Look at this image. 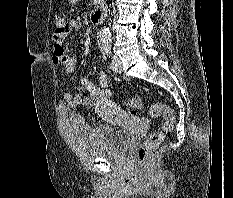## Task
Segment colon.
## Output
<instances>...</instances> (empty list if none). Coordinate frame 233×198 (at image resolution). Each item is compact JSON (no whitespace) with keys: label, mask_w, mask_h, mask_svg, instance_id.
<instances>
[{"label":"colon","mask_w":233,"mask_h":198,"mask_svg":"<svg viewBox=\"0 0 233 198\" xmlns=\"http://www.w3.org/2000/svg\"><path fill=\"white\" fill-rule=\"evenodd\" d=\"M65 19L57 16L55 18V31H61L64 28ZM127 105L132 112H137L141 109L142 103L139 98H131L127 101ZM152 117H162L163 123L161 127L150 133L144 142L137 149V158L141 162H145L151 150L158 147L165 136L172 132L175 123V115L173 110L162 102L153 103L150 107Z\"/></svg>","instance_id":"1"}]
</instances>
